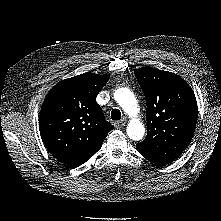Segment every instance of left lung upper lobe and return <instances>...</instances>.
<instances>
[{
    "label": "left lung upper lobe",
    "mask_w": 221,
    "mask_h": 221,
    "mask_svg": "<svg viewBox=\"0 0 221 221\" xmlns=\"http://www.w3.org/2000/svg\"><path fill=\"white\" fill-rule=\"evenodd\" d=\"M135 76L146 98L147 136L136 144L150 162H173L190 143L197 123L196 97L180 76L149 66Z\"/></svg>",
    "instance_id": "1"
}]
</instances>
